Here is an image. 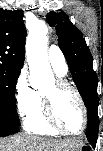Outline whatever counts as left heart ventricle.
Masks as SVG:
<instances>
[{"instance_id":"b2bd125f","label":"left heart ventricle","mask_w":103,"mask_h":151,"mask_svg":"<svg viewBox=\"0 0 103 151\" xmlns=\"http://www.w3.org/2000/svg\"><path fill=\"white\" fill-rule=\"evenodd\" d=\"M43 93L53 97L55 116L61 126L70 131H78L82 128V109L73 92L70 90L58 91L55 83H52Z\"/></svg>"}]
</instances>
